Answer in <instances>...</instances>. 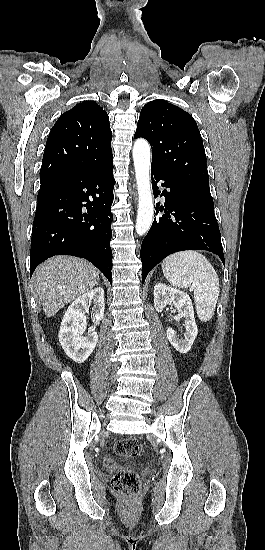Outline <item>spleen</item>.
<instances>
[{
  "mask_svg": "<svg viewBox=\"0 0 265 550\" xmlns=\"http://www.w3.org/2000/svg\"><path fill=\"white\" fill-rule=\"evenodd\" d=\"M164 276L178 288L190 287L194 291L196 312L201 321H209L219 297V278L207 260L197 251L172 254L162 262Z\"/></svg>",
  "mask_w": 265,
  "mask_h": 550,
  "instance_id": "1",
  "label": "spleen"
}]
</instances>
